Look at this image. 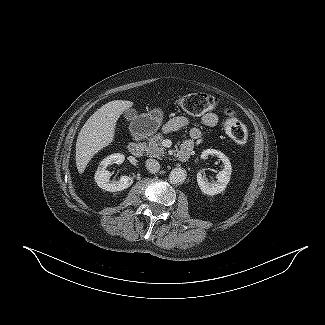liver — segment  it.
Here are the masks:
<instances>
[{"instance_id":"obj_1","label":"liver","mask_w":325,"mask_h":325,"mask_svg":"<svg viewBox=\"0 0 325 325\" xmlns=\"http://www.w3.org/2000/svg\"><path fill=\"white\" fill-rule=\"evenodd\" d=\"M132 105L127 100L108 102L85 122L76 142V166L80 174L96 153L113 142L120 115Z\"/></svg>"}]
</instances>
